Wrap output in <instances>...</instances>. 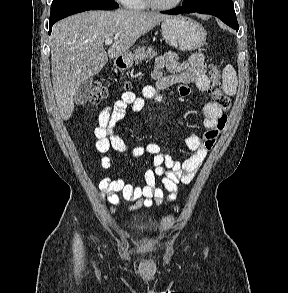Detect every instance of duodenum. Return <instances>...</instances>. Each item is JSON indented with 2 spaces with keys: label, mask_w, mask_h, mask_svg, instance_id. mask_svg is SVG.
I'll return each mask as SVG.
<instances>
[{
  "label": "duodenum",
  "mask_w": 288,
  "mask_h": 293,
  "mask_svg": "<svg viewBox=\"0 0 288 293\" xmlns=\"http://www.w3.org/2000/svg\"><path fill=\"white\" fill-rule=\"evenodd\" d=\"M116 65H117L118 67H122V66H123V61H122L121 59H118V60L116 61Z\"/></svg>",
  "instance_id": "duodenum-1"
}]
</instances>
